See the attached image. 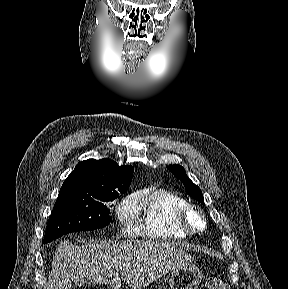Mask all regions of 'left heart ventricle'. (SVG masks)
<instances>
[{
    "label": "left heart ventricle",
    "mask_w": 288,
    "mask_h": 289,
    "mask_svg": "<svg viewBox=\"0 0 288 289\" xmlns=\"http://www.w3.org/2000/svg\"><path fill=\"white\" fill-rule=\"evenodd\" d=\"M191 221H192V223L194 225H199L200 224V220H199L198 216L195 215V214H191Z\"/></svg>",
    "instance_id": "left-heart-ventricle-1"
}]
</instances>
